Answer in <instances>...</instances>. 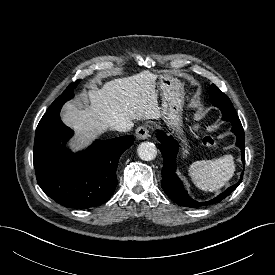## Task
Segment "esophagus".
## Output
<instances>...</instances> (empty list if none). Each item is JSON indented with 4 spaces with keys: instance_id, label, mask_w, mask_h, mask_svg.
Masks as SVG:
<instances>
[{
    "instance_id": "esophagus-1",
    "label": "esophagus",
    "mask_w": 275,
    "mask_h": 275,
    "mask_svg": "<svg viewBox=\"0 0 275 275\" xmlns=\"http://www.w3.org/2000/svg\"><path fill=\"white\" fill-rule=\"evenodd\" d=\"M136 137L140 140L147 139L149 137V129L147 125H142L136 130Z\"/></svg>"
}]
</instances>
